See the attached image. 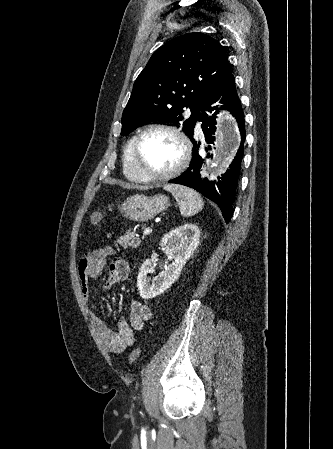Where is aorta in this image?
Returning a JSON list of instances; mask_svg holds the SVG:
<instances>
[{"instance_id": "aorta-1", "label": "aorta", "mask_w": 333, "mask_h": 449, "mask_svg": "<svg viewBox=\"0 0 333 449\" xmlns=\"http://www.w3.org/2000/svg\"><path fill=\"white\" fill-rule=\"evenodd\" d=\"M238 142L239 133L236 125L232 121L222 125L217 132L218 154L214 160H211L210 163H215L217 166L225 163V161L237 147Z\"/></svg>"}]
</instances>
